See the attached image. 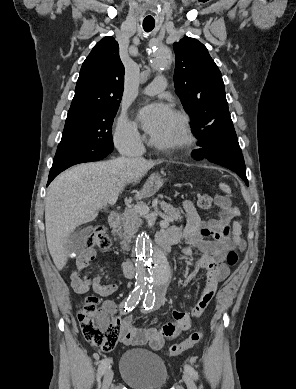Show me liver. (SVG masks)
<instances>
[{"label": "liver", "instance_id": "6515ba94", "mask_svg": "<svg viewBox=\"0 0 296 389\" xmlns=\"http://www.w3.org/2000/svg\"><path fill=\"white\" fill-rule=\"evenodd\" d=\"M156 162L119 157L106 162L77 165L58 176L45 200L47 245L58 270L67 263L64 248L74 230L94 220L109 200L127 184H136Z\"/></svg>", "mask_w": 296, "mask_h": 389}]
</instances>
